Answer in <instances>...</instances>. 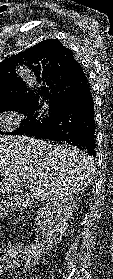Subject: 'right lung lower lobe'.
<instances>
[{
	"label": "right lung lower lobe",
	"mask_w": 113,
	"mask_h": 279,
	"mask_svg": "<svg viewBox=\"0 0 113 279\" xmlns=\"http://www.w3.org/2000/svg\"><path fill=\"white\" fill-rule=\"evenodd\" d=\"M25 135L67 143L95 157L94 103L89 82L74 98L58 105L53 120L27 131Z\"/></svg>",
	"instance_id": "98d812e1"
}]
</instances>
